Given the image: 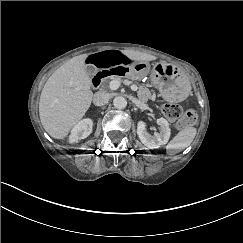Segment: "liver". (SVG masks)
Returning a JSON list of instances; mask_svg holds the SVG:
<instances>
[{"instance_id": "1", "label": "liver", "mask_w": 243, "mask_h": 243, "mask_svg": "<svg viewBox=\"0 0 243 243\" xmlns=\"http://www.w3.org/2000/svg\"><path fill=\"white\" fill-rule=\"evenodd\" d=\"M132 61H154L156 56L136 50H120ZM76 56L56 69L45 83L39 100V117L44 130L54 139H65L91 106L93 92L86 72V59Z\"/></svg>"}]
</instances>
